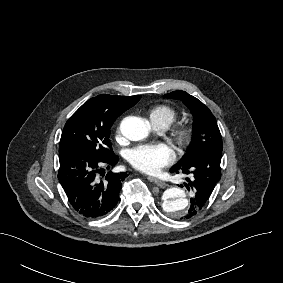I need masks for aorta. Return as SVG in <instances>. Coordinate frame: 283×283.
<instances>
[{
    "mask_svg": "<svg viewBox=\"0 0 283 283\" xmlns=\"http://www.w3.org/2000/svg\"><path fill=\"white\" fill-rule=\"evenodd\" d=\"M150 129L151 126L147 120L135 116L124 118L120 124L123 136L132 141H140L146 138ZM162 199V208L170 216L180 218L187 212L189 201L183 189L169 188L163 193Z\"/></svg>",
    "mask_w": 283,
    "mask_h": 283,
    "instance_id": "1",
    "label": "aorta"
}]
</instances>
